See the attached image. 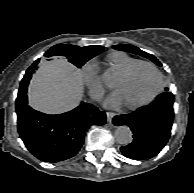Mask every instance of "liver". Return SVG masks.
<instances>
[{
    "instance_id": "obj_1",
    "label": "liver",
    "mask_w": 194,
    "mask_h": 193,
    "mask_svg": "<svg viewBox=\"0 0 194 193\" xmlns=\"http://www.w3.org/2000/svg\"><path fill=\"white\" fill-rule=\"evenodd\" d=\"M82 93L81 72L61 59L38 69L29 85L28 97L32 108L59 114L77 106Z\"/></svg>"
}]
</instances>
